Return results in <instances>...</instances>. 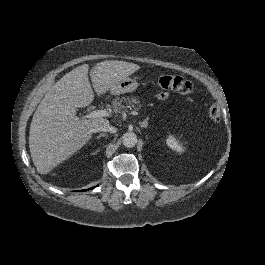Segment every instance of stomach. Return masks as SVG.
Listing matches in <instances>:
<instances>
[{
    "instance_id": "0dacf381",
    "label": "stomach",
    "mask_w": 265,
    "mask_h": 265,
    "mask_svg": "<svg viewBox=\"0 0 265 265\" xmlns=\"http://www.w3.org/2000/svg\"><path fill=\"white\" fill-rule=\"evenodd\" d=\"M138 82L135 79L124 78L117 81L112 88H110V93L112 95H120L123 93L133 92L138 87Z\"/></svg>"
}]
</instances>
